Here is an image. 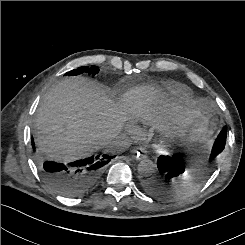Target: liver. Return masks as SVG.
I'll return each mask as SVG.
<instances>
[{
	"mask_svg": "<svg viewBox=\"0 0 245 245\" xmlns=\"http://www.w3.org/2000/svg\"><path fill=\"white\" fill-rule=\"evenodd\" d=\"M203 103H167L152 86L131 89L117 103L93 82L69 77L42 100L36 115L35 141L51 159L73 161L114 139L126 114L152 123L161 134L171 137L180 133Z\"/></svg>",
	"mask_w": 245,
	"mask_h": 245,
	"instance_id": "1",
	"label": "liver"
}]
</instances>
